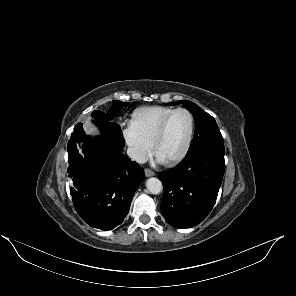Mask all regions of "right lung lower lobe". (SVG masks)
<instances>
[{
    "mask_svg": "<svg viewBox=\"0 0 296 296\" xmlns=\"http://www.w3.org/2000/svg\"><path fill=\"white\" fill-rule=\"evenodd\" d=\"M102 134L88 141L78 123L68 141V173L73 180L72 201L91 227L111 230L128 214L134 192L144 179L143 169L122 154L125 141L119 125L94 121ZM84 143L83 153L76 144Z\"/></svg>",
    "mask_w": 296,
    "mask_h": 296,
    "instance_id": "right-lung-lower-lobe-1",
    "label": "right lung lower lobe"
}]
</instances>
